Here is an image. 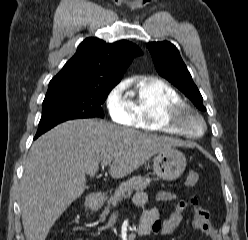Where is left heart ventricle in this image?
Listing matches in <instances>:
<instances>
[{
    "instance_id": "1",
    "label": "left heart ventricle",
    "mask_w": 248,
    "mask_h": 240,
    "mask_svg": "<svg viewBox=\"0 0 248 240\" xmlns=\"http://www.w3.org/2000/svg\"><path fill=\"white\" fill-rule=\"evenodd\" d=\"M187 124H188L189 128H190L193 132H195V133H198V132L201 130V125H200V123H199L196 119H194V118H192V117H189V118L187 119Z\"/></svg>"
}]
</instances>
